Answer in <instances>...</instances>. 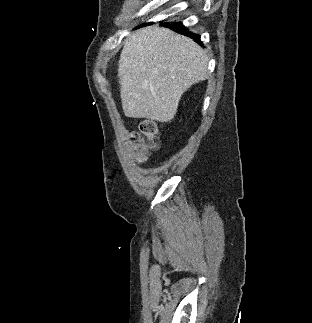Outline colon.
<instances>
[{
    "mask_svg": "<svg viewBox=\"0 0 312 323\" xmlns=\"http://www.w3.org/2000/svg\"><path fill=\"white\" fill-rule=\"evenodd\" d=\"M156 126L153 122L145 120L140 126L139 130L133 133L132 139L139 148L152 149L156 145Z\"/></svg>",
    "mask_w": 312,
    "mask_h": 323,
    "instance_id": "colon-1",
    "label": "colon"
}]
</instances>
